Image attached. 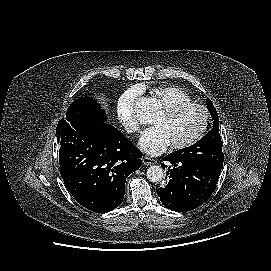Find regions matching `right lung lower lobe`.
I'll return each instance as SVG.
<instances>
[{
	"label": "right lung lower lobe",
	"mask_w": 271,
	"mask_h": 271,
	"mask_svg": "<svg viewBox=\"0 0 271 271\" xmlns=\"http://www.w3.org/2000/svg\"><path fill=\"white\" fill-rule=\"evenodd\" d=\"M56 137L60 174L75 200L98 213L120 205L126 178L141 167L142 153L105 120L61 119Z\"/></svg>",
	"instance_id": "obj_1"
}]
</instances>
